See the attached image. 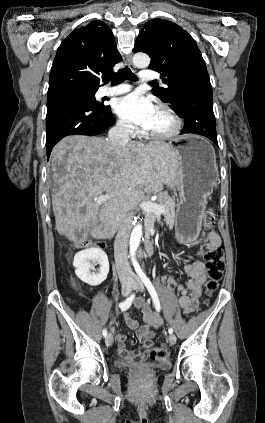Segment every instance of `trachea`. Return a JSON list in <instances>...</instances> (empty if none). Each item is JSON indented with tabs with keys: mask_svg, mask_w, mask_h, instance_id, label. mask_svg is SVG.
I'll list each match as a JSON object with an SVG mask.
<instances>
[{
	"mask_svg": "<svg viewBox=\"0 0 265 423\" xmlns=\"http://www.w3.org/2000/svg\"><path fill=\"white\" fill-rule=\"evenodd\" d=\"M126 79L131 81L138 80L137 77L132 73V71L128 67L120 69L118 73L112 76L109 80L111 81L112 85H117L122 83ZM150 84H157V82L153 81L150 82Z\"/></svg>",
	"mask_w": 265,
	"mask_h": 423,
	"instance_id": "trachea-1",
	"label": "trachea"
}]
</instances>
